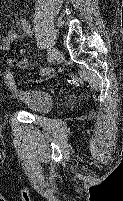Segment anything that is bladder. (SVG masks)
I'll return each instance as SVG.
<instances>
[{
	"label": "bladder",
	"mask_w": 123,
	"mask_h": 201,
	"mask_svg": "<svg viewBox=\"0 0 123 201\" xmlns=\"http://www.w3.org/2000/svg\"><path fill=\"white\" fill-rule=\"evenodd\" d=\"M0 75L12 93V101L23 109L35 114H46L53 108L54 98L49 89L24 86L10 70H4Z\"/></svg>",
	"instance_id": "31cf9c89"
}]
</instances>
